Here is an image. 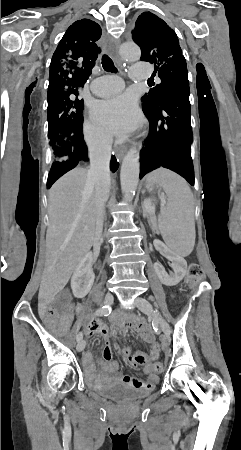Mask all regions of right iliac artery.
<instances>
[{
    "instance_id": "obj_1",
    "label": "right iliac artery",
    "mask_w": 241,
    "mask_h": 450,
    "mask_svg": "<svg viewBox=\"0 0 241 450\" xmlns=\"http://www.w3.org/2000/svg\"><path fill=\"white\" fill-rule=\"evenodd\" d=\"M111 313V307L109 305L103 306L97 309L94 313L95 316H108ZM83 333L79 332L77 335V341L82 340Z\"/></svg>"
}]
</instances>
